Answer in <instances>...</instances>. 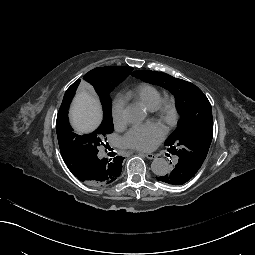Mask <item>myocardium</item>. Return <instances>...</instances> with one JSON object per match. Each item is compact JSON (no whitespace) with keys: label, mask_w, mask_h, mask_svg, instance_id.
<instances>
[{"label":"myocardium","mask_w":255,"mask_h":255,"mask_svg":"<svg viewBox=\"0 0 255 255\" xmlns=\"http://www.w3.org/2000/svg\"><path fill=\"white\" fill-rule=\"evenodd\" d=\"M155 111L158 114V124L163 128L165 133H168L173 126L175 117V104L173 99L169 97L161 98Z\"/></svg>","instance_id":"1"}]
</instances>
